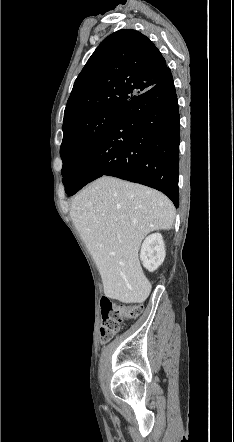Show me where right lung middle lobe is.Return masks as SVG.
I'll list each match as a JSON object with an SVG mask.
<instances>
[{
  "label": "right lung middle lobe",
  "instance_id": "obj_1",
  "mask_svg": "<svg viewBox=\"0 0 234 442\" xmlns=\"http://www.w3.org/2000/svg\"><path fill=\"white\" fill-rule=\"evenodd\" d=\"M121 107L105 108L84 115L63 127L60 155L65 190L71 183L70 171L77 161L94 147L108 131Z\"/></svg>",
  "mask_w": 234,
  "mask_h": 442
}]
</instances>
